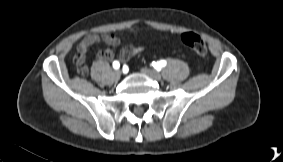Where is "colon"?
Returning <instances> with one entry per match:
<instances>
[{
    "label": "colon",
    "mask_w": 283,
    "mask_h": 162,
    "mask_svg": "<svg viewBox=\"0 0 283 162\" xmlns=\"http://www.w3.org/2000/svg\"><path fill=\"white\" fill-rule=\"evenodd\" d=\"M182 42L190 47L196 54L205 58L207 55V46L204 40L196 33L186 32L181 35ZM74 62L79 73L85 71V62L81 58H74Z\"/></svg>",
    "instance_id": "5ec220e1"
}]
</instances>
